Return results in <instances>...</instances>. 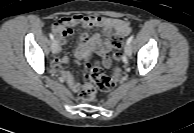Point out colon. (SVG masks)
<instances>
[{"mask_svg":"<svg viewBox=\"0 0 194 133\" xmlns=\"http://www.w3.org/2000/svg\"><path fill=\"white\" fill-rule=\"evenodd\" d=\"M124 36L121 34L112 35L110 42L113 47V52L109 56L110 61L119 62L121 59L120 49L122 47ZM121 77V70L118 66H115L110 76L106 75L98 62H94L89 65L86 75L87 83L80 91V98L83 101H91L95 96V89L98 88L101 91H110L115 88Z\"/></svg>","mask_w":194,"mask_h":133,"instance_id":"5ec220e1","label":"colon"}]
</instances>
